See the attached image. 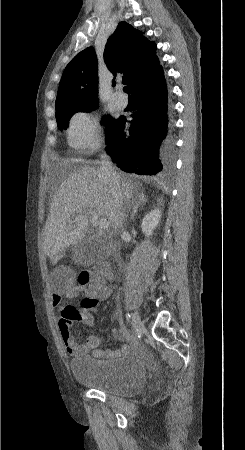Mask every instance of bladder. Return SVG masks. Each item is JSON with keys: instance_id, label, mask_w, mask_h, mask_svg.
I'll return each instance as SVG.
<instances>
[{"instance_id": "1", "label": "bladder", "mask_w": 245, "mask_h": 450, "mask_svg": "<svg viewBox=\"0 0 245 450\" xmlns=\"http://www.w3.org/2000/svg\"><path fill=\"white\" fill-rule=\"evenodd\" d=\"M71 368L78 383L114 396L137 395L145 381V367L135 356H85L71 360Z\"/></svg>"}]
</instances>
